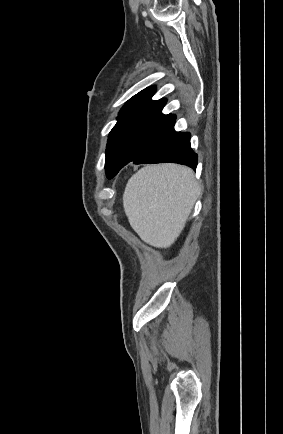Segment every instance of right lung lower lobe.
Here are the masks:
<instances>
[{
	"label": "right lung lower lobe",
	"mask_w": 283,
	"mask_h": 434,
	"mask_svg": "<svg viewBox=\"0 0 283 434\" xmlns=\"http://www.w3.org/2000/svg\"><path fill=\"white\" fill-rule=\"evenodd\" d=\"M189 132H176L174 126L149 145L134 161V164L173 162L197 166V154L190 146Z\"/></svg>",
	"instance_id": "obj_1"
}]
</instances>
